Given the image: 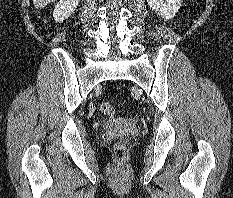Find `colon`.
I'll return each instance as SVG.
<instances>
[{
    "instance_id": "obj_1",
    "label": "colon",
    "mask_w": 233,
    "mask_h": 198,
    "mask_svg": "<svg viewBox=\"0 0 233 198\" xmlns=\"http://www.w3.org/2000/svg\"><path fill=\"white\" fill-rule=\"evenodd\" d=\"M101 111L106 115H112L114 112L113 106L108 102H103L100 105ZM115 158L118 162H122L126 155V145L124 142H117L114 145Z\"/></svg>"
}]
</instances>
